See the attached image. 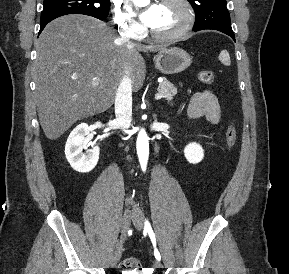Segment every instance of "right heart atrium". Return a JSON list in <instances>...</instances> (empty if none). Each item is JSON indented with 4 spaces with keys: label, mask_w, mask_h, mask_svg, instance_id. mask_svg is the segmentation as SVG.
Wrapping results in <instances>:
<instances>
[{
    "label": "right heart atrium",
    "mask_w": 289,
    "mask_h": 274,
    "mask_svg": "<svg viewBox=\"0 0 289 274\" xmlns=\"http://www.w3.org/2000/svg\"><path fill=\"white\" fill-rule=\"evenodd\" d=\"M114 19L119 31L124 35L136 38L141 34L142 27L140 24L123 12L118 3L114 6Z\"/></svg>",
    "instance_id": "d8ad5b80"
}]
</instances>
